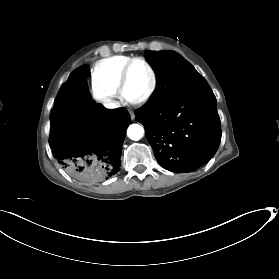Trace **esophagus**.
<instances>
[{
	"label": "esophagus",
	"mask_w": 279,
	"mask_h": 279,
	"mask_svg": "<svg viewBox=\"0 0 279 279\" xmlns=\"http://www.w3.org/2000/svg\"><path fill=\"white\" fill-rule=\"evenodd\" d=\"M130 115H131V119L135 118V115H134L133 111H130Z\"/></svg>",
	"instance_id": "esophagus-1"
}]
</instances>
